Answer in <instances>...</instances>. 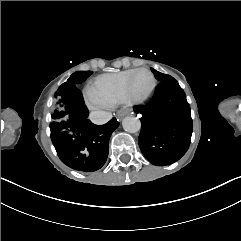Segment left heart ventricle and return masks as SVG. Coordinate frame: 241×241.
Masks as SVG:
<instances>
[{"instance_id": "1", "label": "left heart ventricle", "mask_w": 241, "mask_h": 241, "mask_svg": "<svg viewBox=\"0 0 241 241\" xmlns=\"http://www.w3.org/2000/svg\"><path fill=\"white\" fill-rule=\"evenodd\" d=\"M127 91L135 93L132 97L134 104H139L141 101L148 100L152 95V88L150 85V77L148 75H141L134 81L127 84Z\"/></svg>"}]
</instances>
